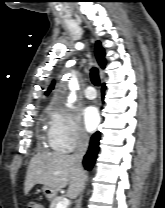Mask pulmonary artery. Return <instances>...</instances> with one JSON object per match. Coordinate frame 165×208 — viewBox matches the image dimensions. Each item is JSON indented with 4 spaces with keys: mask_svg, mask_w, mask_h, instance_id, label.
Returning a JSON list of instances; mask_svg holds the SVG:
<instances>
[{
    "mask_svg": "<svg viewBox=\"0 0 165 208\" xmlns=\"http://www.w3.org/2000/svg\"><path fill=\"white\" fill-rule=\"evenodd\" d=\"M84 95L87 99L89 100H93L96 98V92L94 91V89L91 86H88L85 91H84Z\"/></svg>",
    "mask_w": 165,
    "mask_h": 208,
    "instance_id": "obj_1",
    "label": "pulmonary artery"
}]
</instances>
